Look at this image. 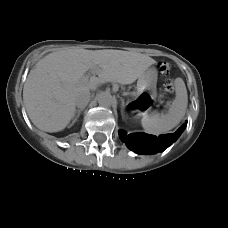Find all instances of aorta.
I'll list each match as a JSON object with an SVG mask.
<instances>
[{
  "label": "aorta",
  "mask_w": 228,
  "mask_h": 228,
  "mask_svg": "<svg viewBox=\"0 0 228 228\" xmlns=\"http://www.w3.org/2000/svg\"><path fill=\"white\" fill-rule=\"evenodd\" d=\"M97 101L100 106L106 107V108L111 107L114 103V99L112 95L108 92H100L97 95Z\"/></svg>",
  "instance_id": "762f6f07"
}]
</instances>
